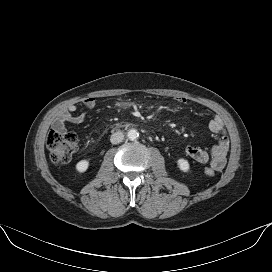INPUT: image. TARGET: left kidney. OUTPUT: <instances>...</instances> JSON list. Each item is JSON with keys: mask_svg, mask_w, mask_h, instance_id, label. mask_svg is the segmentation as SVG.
I'll return each instance as SVG.
<instances>
[{"mask_svg": "<svg viewBox=\"0 0 272 272\" xmlns=\"http://www.w3.org/2000/svg\"><path fill=\"white\" fill-rule=\"evenodd\" d=\"M177 165H178L179 169L183 172H187L190 167L189 162L184 158L178 159Z\"/></svg>", "mask_w": 272, "mask_h": 272, "instance_id": "left-kidney-1", "label": "left kidney"}]
</instances>
